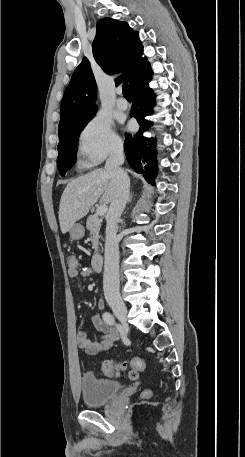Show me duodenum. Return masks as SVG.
I'll return each mask as SVG.
<instances>
[{
    "label": "duodenum",
    "mask_w": 245,
    "mask_h": 457,
    "mask_svg": "<svg viewBox=\"0 0 245 457\" xmlns=\"http://www.w3.org/2000/svg\"><path fill=\"white\" fill-rule=\"evenodd\" d=\"M104 258L101 254H96L92 258V267L95 271H100L103 267Z\"/></svg>",
    "instance_id": "410a0bca"
}]
</instances>
